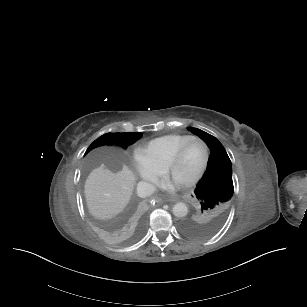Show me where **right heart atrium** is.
Listing matches in <instances>:
<instances>
[{
	"instance_id": "1",
	"label": "right heart atrium",
	"mask_w": 307,
	"mask_h": 307,
	"mask_svg": "<svg viewBox=\"0 0 307 307\" xmlns=\"http://www.w3.org/2000/svg\"><path fill=\"white\" fill-rule=\"evenodd\" d=\"M133 166L137 174L143 179L156 181L162 175L159 167L150 164L139 155L133 154Z\"/></svg>"
}]
</instances>
